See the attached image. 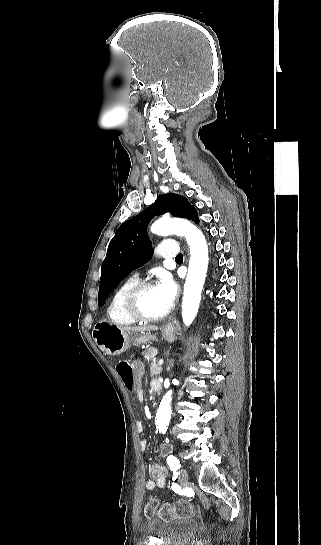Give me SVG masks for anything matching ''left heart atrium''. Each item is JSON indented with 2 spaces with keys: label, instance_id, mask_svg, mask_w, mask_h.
I'll return each mask as SVG.
<instances>
[{
  "label": "left heart atrium",
  "instance_id": "left-heart-atrium-1",
  "mask_svg": "<svg viewBox=\"0 0 321 545\" xmlns=\"http://www.w3.org/2000/svg\"><path fill=\"white\" fill-rule=\"evenodd\" d=\"M156 289L164 297L170 308L174 304L179 293V287L171 274L168 272H161L158 276Z\"/></svg>",
  "mask_w": 321,
  "mask_h": 545
}]
</instances>
